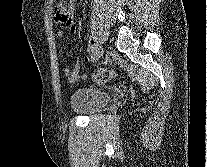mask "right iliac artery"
<instances>
[{
    "label": "right iliac artery",
    "instance_id": "obj_1",
    "mask_svg": "<svg viewBox=\"0 0 207 167\" xmlns=\"http://www.w3.org/2000/svg\"><path fill=\"white\" fill-rule=\"evenodd\" d=\"M94 49H95V46L93 44H89L88 49H87L88 52L92 53V52H94Z\"/></svg>",
    "mask_w": 207,
    "mask_h": 167
}]
</instances>
